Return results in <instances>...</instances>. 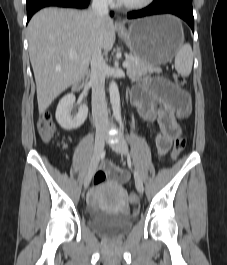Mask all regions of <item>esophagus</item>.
Here are the masks:
<instances>
[{"label":"esophagus","instance_id":"obj_1","mask_svg":"<svg viewBox=\"0 0 227 265\" xmlns=\"http://www.w3.org/2000/svg\"><path fill=\"white\" fill-rule=\"evenodd\" d=\"M115 26L118 28V29H123L124 28V23L121 21V19L118 17L116 22H115Z\"/></svg>","mask_w":227,"mask_h":265}]
</instances>
